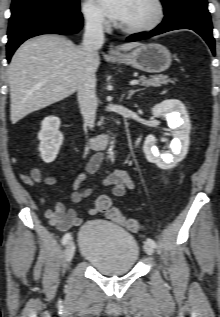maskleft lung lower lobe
<instances>
[{"mask_svg":"<svg viewBox=\"0 0 220 317\" xmlns=\"http://www.w3.org/2000/svg\"><path fill=\"white\" fill-rule=\"evenodd\" d=\"M164 13L165 18L157 28L147 33L132 35L127 41H136L177 29H190L203 37L215 55L207 0H179L174 7L164 10Z\"/></svg>","mask_w":220,"mask_h":317,"instance_id":"1","label":"left lung lower lobe"}]
</instances>
